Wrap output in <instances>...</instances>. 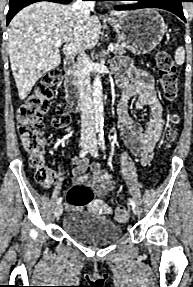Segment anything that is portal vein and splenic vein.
Here are the masks:
<instances>
[{
  "label": "portal vein and splenic vein",
  "mask_w": 193,
  "mask_h": 287,
  "mask_svg": "<svg viewBox=\"0 0 193 287\" xmlns=\"http://www.w3.org/2000/svg\"><path fill=\"white\" fill-rule=\"evenodd\" d=\"M63 43H64V41H62V40H57V41H55L54 45H55V46H60V45H62ZM108 49H109L110 51H113V50L115 49V46H114L113 44H110L109 47H108Z\"/></svg>",
  "instance_id": "portal-vein-and-splenic-vein-1"
}]
</instances>
